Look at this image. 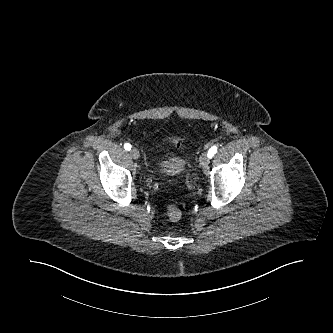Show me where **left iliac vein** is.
Segmentation results:
<instances>
[{
	"label": "left iliac vein",
	"instance_id": "1",
	"mask_svg": "<svg viewBox=\"0 0 333 333\" xmlns=\"http://www.w3.org/2000/svg\"><path fill=\"white\" fill-rule=\"evenodd\" d=\"M199 163L201 165V167L203 168H207L208 164H209V157H208V153L203 152L200 157H199Z\"/></svg>",
	"mask_w": 333,
	"mask_h": 333
}]
</instances>
